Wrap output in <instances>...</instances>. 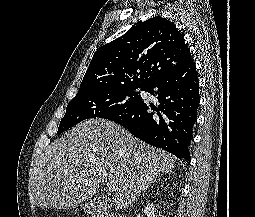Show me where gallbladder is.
Instances as JSON below:
<instances>
[{"label": "gallbladder", "instance_id": "1", "mask_svg": "<svg viewBox=\"0 0 255 217\" xmlns=\"http://www.w3.org/2000/svg\"><path fill=\"white\" fill-rule=\"evenodd\" d=\"M99 202H100L99 199L91 200L88 204H84L82 206V209L85 211L90 210L93 206H97Z\"/></svg>", "mask_w": 255, "mask_h": 217}]
</instances>
